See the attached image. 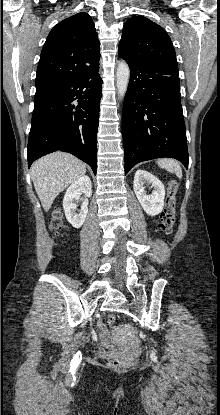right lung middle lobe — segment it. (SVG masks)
<instances>
[{
    "instance_id": "1",
    "label": "right lung middle lobe",
    "mask_w": 220,
    "mask_h": 415,
    "mask_svg": "<svg viewBox=\"0 0 220 415\" xmlns=\"http://www.w3.org/2000/svg\"><path fill=\"white\" fill-rule=\"evenodd\" d=\"M57 85H41L36 86L35 98L50 93L56 89Z\"/></svg>"
}]
</instances>
